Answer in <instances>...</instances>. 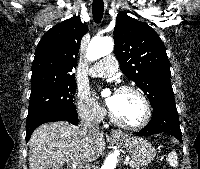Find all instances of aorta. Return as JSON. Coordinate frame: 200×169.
<instances>
[{"label": "aorta", "mask_w": 200, "mask_h": 169, "mask_svg": "<svg viewBox=\"0 0 200 169\" xmlns=\"http://www.w3.org/2000/svg\"><path fill=\"white\" fill-rule=\"evenodd\" d=\"M113 39L111 37H94L87 48L86 57L90 61H95L104 57L112 52L113 50ZM118 162V154L117 153H110L101 169H115Z\"/></svg>", "instance_id": "1"}]
</instances>
